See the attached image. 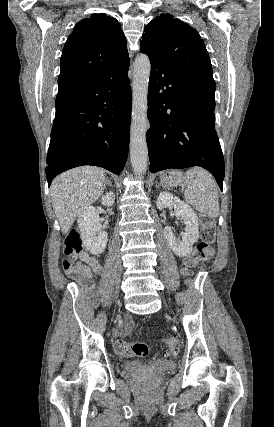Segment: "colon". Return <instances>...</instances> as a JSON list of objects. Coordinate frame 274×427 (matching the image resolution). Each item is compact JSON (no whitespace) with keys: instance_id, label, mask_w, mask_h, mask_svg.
I'll use <instances>...</instances> for the list:
<instances>
[{"instance_id":"1","label":"colon","mask_w":274,"mask_h":427,"mask_svg":"<svg viewBox=\"0 0 274 427\" xmlns=\"http://www.w3.org/2000/svg\"><path fill=\"white\" fill-rule=\"evenodd\" d=\"M215 223L212 218L204 216L202 218L201 238L196 244L194 251L187 258L188 269L191 270L200 261L207 260L208 254H214L215 241ZM82 250V243L77 232H70L64 242L63 251L66 259L63 261V270L65 273L74 277H79L81 265L78 261V255ZM154 326L148 328L153 331ZM117 353L126 357H144L149 353V347L145 342L130 343L124 340H117L114 343ZM180 348L178 337H169L164 343L162 354L165 357H173ZM159 385L158 383L156 384ZM154 391L153 389L151 390Z\"/></svg>"}]
</instances>
